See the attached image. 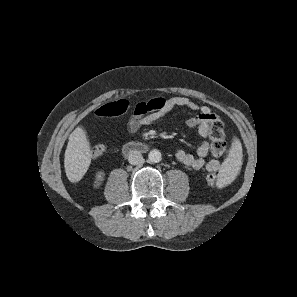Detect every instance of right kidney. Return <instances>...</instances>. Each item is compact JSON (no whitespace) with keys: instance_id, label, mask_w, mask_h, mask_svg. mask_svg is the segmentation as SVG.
<instances>
[{"instance_id":"ca27d5eb","label":"right kidney","mask_w":297,"mask_h":297,"mask_svg":"<svg viewBox=\"0 0 297 297\" xmlns=\"http://www.w3.org/2000/svg\"><path fill=\"white\" fill-rule=\"evenodd\" d=\"M95 180H96V183L102 182L103 181V175L101 173L97 174Z\"/></svg>"}]
</instances>
